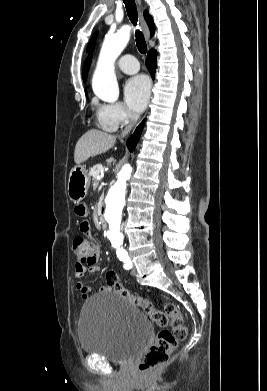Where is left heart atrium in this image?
Wrapping results in <instances>:
<instances>
[{
  "label": "left heart atrium",
  "instance_id": "39dd6f15",
  "mask_svg": "<svg viewBox=\"0 0 267 391\" xmlns=\"http://www.w3.org/2000/svg\"><path fill=\"white\" fill-rule=\"evenodd\" d=\"M150 96V82L144 75L129 79L124 86L127 105L134 112H141L146 107Z\"/></svg>",
  "mask_w": 267,
  "mask_h": 391
}]
</instances>
